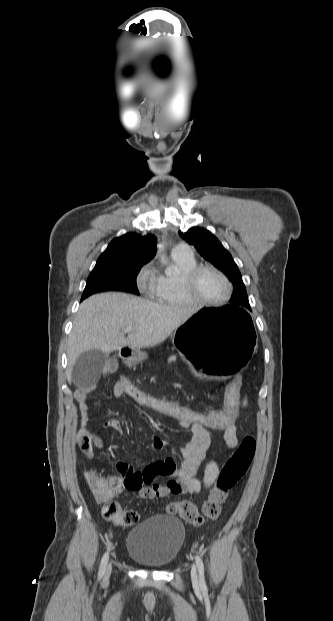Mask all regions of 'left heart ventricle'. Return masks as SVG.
Segmentation results:
<instances>
[{
    "label": "left heart ventricle",
    "mask_w": 333,
    "mask_h": 621,
    "mask_svg": "<svg viewBox=\"0 0 333 621\" xmlns=\"http://www.w3.org/2000/svg\"><path fill=\"white\" fill-rule=\"evenodd\" d=\"M196 294L204 299L216 301L222 299L227 293V285L224 280L211 271L203 272L197 279L195 286Z\"/></svg>",
    "instance_id": "obj_1"
}]
</instances>
